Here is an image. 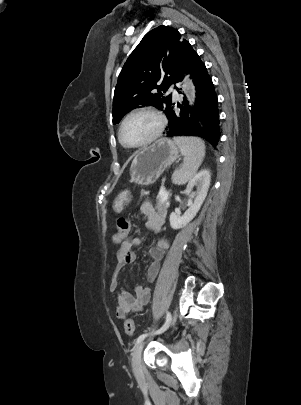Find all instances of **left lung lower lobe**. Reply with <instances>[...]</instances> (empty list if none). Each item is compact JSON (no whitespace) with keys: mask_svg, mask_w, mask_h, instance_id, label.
Returning a JSON list of instances; mask_svg holds the SVG:
<instances>
[{"mask_svg":"<svg viewBox=\"0 0 301 405\" xmlns=\"http://www.w3.org/2000/svg\"><path fill=\"white\" fill-rule=\"evenodd\" d=\"M185 72L191 75L196 87L195 106L190 107L184 98L183 105L179 106L180 113L176 114L171 107L166 113L169 125L165 135L198 136L217 148L220 139L217 95L205 64L196 52L190 57Z\"/></svg>","mask_w":301,"mask_h":405,"instance_id":"obj_1","label":"left lung lower lobe"}]
</instances>
